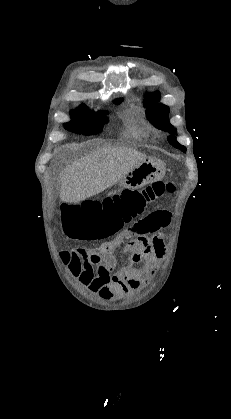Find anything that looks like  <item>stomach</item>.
Instances as JSON below:
<instances>
[{
	"instance_id": "obj_1",
	"label": "stomach",
	"mask_w": 231,
	"mask_h": 419,
	"mask_svg": "<svg viewBox=\"0 0 231 419\" xmlns=\"http://www.w3.org/2000/svg\"><path fill=\"white\" fill-rule=\"evenodd\" d=\"M165 176L164 163L158 159L146 157L119 180L121 188L139 189L147 184L163 179Z\"/></svg>"
}]
</instances>
